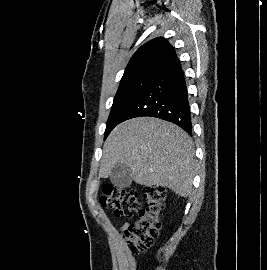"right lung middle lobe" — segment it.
Returning <instances> with one entry per match:
<instances>
[{
  "label": "right lung middle lobe",
  "mask_w": 267,
  "mask_h": 270,
  "mask_svg": "<svg viewBox=\"0 0 267 270\" xmlns=\"http://www.w3.org/2000/svg\"><path fill=\"white\" fill-rule=\"evenodd\" d=\"M154 77V74H147L120 83L106 123L104 139L116 125L124 121L129 110L146 91Z\"/></svg>",
  "instance_id": "obj_1"
}]
</instances>
